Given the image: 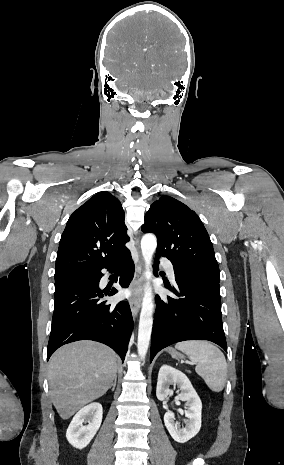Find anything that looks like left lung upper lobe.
<instances>
[{"instance_id":"obj_1","label":"left lung upper lobe","mask_w":284,"mask_h":465,"mask_svg":"<svg viewBox=\"0 0 284 465\" xmlns=\"http://www.w3.org/2000/svg\"><path fill=\"white\" fill-rule=\"evenodd\" d=\"M144 233L156 234V255L167 257L177 270L220 281L213 245L197 214L170 196L156 200L145 215Z\"/></svg>"}]
</instances>
